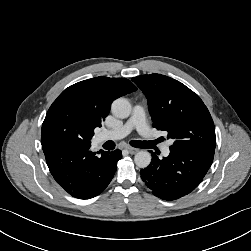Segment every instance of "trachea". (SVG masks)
I'll use <instances>...</instances> for the list:
<instances>
[{"label": "trachea", "instance_id": "trachea-1", "mask_svg": "<svg viewBox=\"0 0 251 251\" xmlns=\"http://www.w3.org/2000/svg\"><path fill=\"white\" fill-rule=\"evenodd\" d=\"M159 141L160 140H156V141H131L130 144H131V146L136 147V148H151ZM106 145H107L108 149H114V147H115V143L113 141H107Z\"/></svg>", "mask_w": 251, "mask_h": 251}]
</instances>
